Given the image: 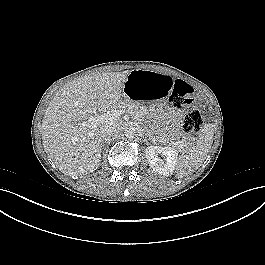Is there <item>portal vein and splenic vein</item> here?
Listing matches in <instances>:
<instances>
[{
	"label": "portal vein and splenic vein",
	"mask_w": 265,
	"mask_h": 265,
	"mask_svg": "<svg viewBox=\"0 0 265 265\" xmlns=\"http://www.w3.org/2000/svg\"><path fill=\"white\" fill-rule=\"evenodd\" d=\"M122 114H123L122 109H113L102 115L90 116L86 122L82 123V125L87 126L89 128H96L102 124L111 122L113 120H118Z\"/></svg>",
	"instance_id": "1"
}]
</instances>
